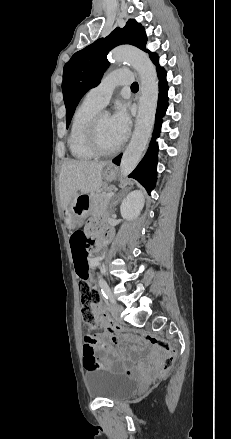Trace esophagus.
Returning <instances> with one entry per match:
<instances>
[{"mask_svg": "<svg viewBox=\"0 0 231 439\" xmlns=\"http://www.w3.org/2000/svg\"><path fill=\"white\" fill-rule=\"evenodd\" d=\"M135 76H136V79H137L138 82H139V92H138V94H137V101H138L139 98H140V94H141V80H140V76H139L138 73H135Z\"/></svg>", "mask_w": 231, "mask_h": 439, "instance_id": "obj_1", "label": "esophagus"}]
</instances>
